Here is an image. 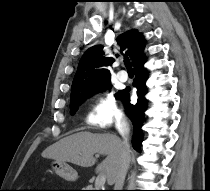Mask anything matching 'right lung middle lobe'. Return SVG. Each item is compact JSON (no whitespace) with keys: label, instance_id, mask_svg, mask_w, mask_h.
<instances>
[{"label":"right lung middle lobe","instance_id":"1","mask_svg":"<svg viewBox=\"0 0 210 191\" xmlns=\"http://www.w3.org/2000/svg\"><path fill=\"white\" fill-rule=\"evenodd\" d=\"M110 82H107L106 84L98 87L95 90H92L86 94L80 95L74 99H71V103H70V111L71 114L74 115L78 109V107L80 106L81 103H83L88 97L92 96L93 94L105 90L106 88L109 87Z\"/></svg>","mask_w":210,"mask_h":191}]
</instances>
